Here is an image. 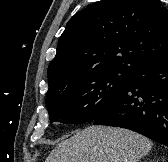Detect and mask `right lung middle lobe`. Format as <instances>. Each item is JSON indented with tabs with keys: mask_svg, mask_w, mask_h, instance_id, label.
Wrapping results in <instances>:
<instances>
[{
	"mask_svg": "<svg viewBox=\"0 0 168 162\" xmlns=\"http://www.w3.org/2000/svg\"><path fill=\"white\" fill-rule=\"evenodd\" d=\"M129 76L123 73L89 75L50 89L46 96L49 119L64 124L93 121L118 95Z\"/></svg>",
	"mask_w": 168,
	"mask_h": 162,
	"instance_id": "1",
	"label": "right lung middle lobe"
}]
</instances>
